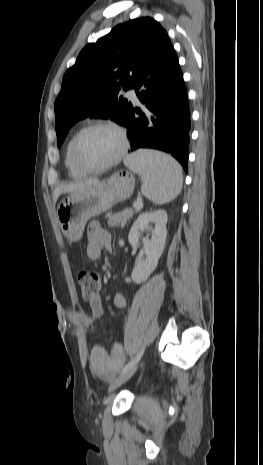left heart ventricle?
Here are the masks:
<instances>
[{"instance_id": "1", "label": "left heart ventricle", "mask_w": 263, "mask_h": 465, "mask_svg": "<svg viewBox=\"0 0 263 465\" xmlns=\"http://www.w3.org/2000/svg\"><path fill=\"white\" fill-rule=\"evenodd\" d=\"M118 135L108 128L87 131L79 143V157L88 166H99L112 160L118 153Z\"/></svg>"}]
</instances>
